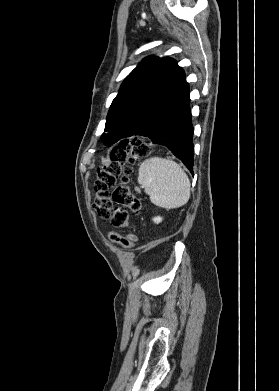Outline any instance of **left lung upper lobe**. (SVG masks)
<instances>
[{"instance_id":"1","label":"left lung upper lobe","mask_w":279,"mask_h":391,"mask_svg":"<svg viewBox=\"0 0 279 391\" xmlns=\"http://www.w3.org/2000/svg\"><path fill=\"white\" fill-rule=\"evenodd\" d=\"M188 89L185 73L174 59L146 57L112 101L101 140L110 145L137 134Z\"/></svg>"}]
</instances>
